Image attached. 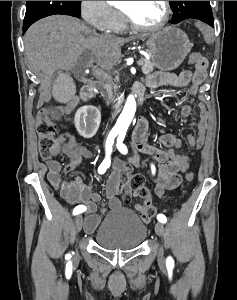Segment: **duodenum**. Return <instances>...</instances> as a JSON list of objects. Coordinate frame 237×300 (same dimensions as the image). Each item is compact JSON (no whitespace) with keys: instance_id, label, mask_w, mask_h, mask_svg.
Segmentation results:
<instances>
[{"instance_id":"1","label":"duodenum","mask_w":237,"mask_h":300,"mask_svg":"<svg viewBox=\"0 0 237 300\" xmlns=\"http://www.w3.org/2000/svg\"><path fill=\"white\" fill-rule=\"evenodd\" d=\"M81 97L86 102H91L94 99V89L92 85L86 84L82 87ZM138 100L141 103L143 101V94L141 91H138Z\"/></svg>"}]
</instances>
